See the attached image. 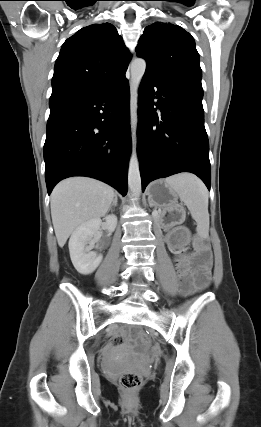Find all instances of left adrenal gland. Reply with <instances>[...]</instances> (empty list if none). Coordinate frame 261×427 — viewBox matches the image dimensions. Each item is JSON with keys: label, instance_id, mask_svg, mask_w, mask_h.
Instances as JSON below:
<instances>
[{"label": "left adrenal gland", "instance_id": "obj_1", "mask_svg": "<svg viewBox=\"0 0 261 427\" xmlns=\"http://www.w3.org/2000/svg\"><path fill=\"white\" fill-rule=\"evenodd\" d=\"M149 205H150V207H152V204H151V203H149Z\"/></svg>", "mask_w": 261, "mask_h": 427}]
</instances>
